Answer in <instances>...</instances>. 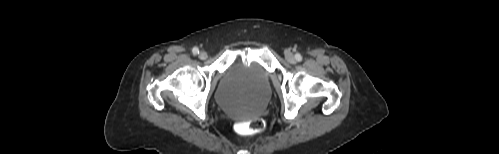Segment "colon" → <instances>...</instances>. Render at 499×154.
<instances>
[{"label": "colon", "instance_id": "obj_1", "mask_svg": "<svg viewBox=\"0 0 499 154\" xmlns=\"http://www.w3.org/2000/svg\"><path fill=\"white\" fill-rule=\"evenodd\" d=\"M264 129V122L260 118H255L249 122H241L236 125V131L241 134H252Z\"/></svg>", "mask_w": 499, "mask_h": 154}]
</instances>
